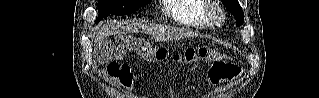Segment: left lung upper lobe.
Listing matches in <instances>:
<instances>
[{
	"label": "left lung upper lobe",
	"mask_w": 319,
	"mask_h": 98,
	"mask_svg": "<svg viewBox=\"0 0 319 98\" xmlns=\"http://www.w3.org/2000/svg\"><path fill=\"white\" fill-rule=\"evenodd\" d=\"M227 10L236 17V25L240 26L244 21V14L238 0H221Z\"/></svg>",
	"instance_id": "1"
}]
</instances>
